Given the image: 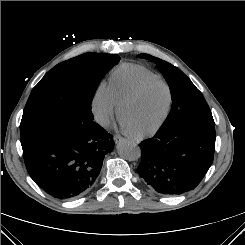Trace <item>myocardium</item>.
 Wrapping results in <instances>:
<instances>
[{"label":"myocardium","instance_id":"myocardium-1","mask_svg":"<svg viewBox=\"0 0 245 245\" xmlns=\"http://www.w3.org/2000/svg\"><path fill=\"white\" fill-rule=\"evenodd\" d=\"M152 82H160L162 85H164V87L166 88V91H167V103H166V107H165L163 115L161 116L159 121L153 127H151L148 130H145V131L131 133L138 138L148 137V136L155 134L165 123V121L169 115L171 105H172V90H171L170 85L168 84V82L166 80H164L163 78H161L158 75L146 78L143 81H141L138 84V86L119 104V114L122 118L124 108L129 103L136 100L140 96V94L142 93L144 88Z\"/></svg>","mask_w":245,"mask_h":245}]
</instances>
